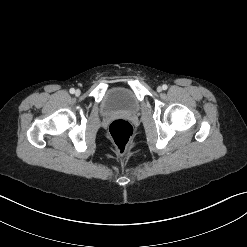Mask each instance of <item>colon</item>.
I'll list each match as a JSON object with an SVG mask.
<instances>
[{
    "label": "colon",
    "instance_id": "5ec220e1",
    "mask_svg": "<svg viewBox=\"0 0 247 247\" xmlns=\"http://www.w3.org/2000/svg\"><path fill=\"white\" fill-rule=\"evenodd\" d=\"M108 133L118 153L124 154L133 136L132 125L126 120H115L110 124Z\"/></svg>",
    "mask_w": 247,
    "mask_h": 247
}]
</instances>
